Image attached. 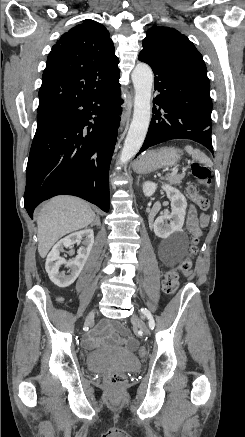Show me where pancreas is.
<instances>
[{"instance_id": "obj_1", "label": "pancreas", "mask_w": 245, "mask_h": 437, "mask_svg": "<svg viewBox=\"0 0 245 437\" xmlns=\"http://www.w3.org/2000/svg\"><path fill=\"white\" fill-rule=\"evenodd\" d=\"M184 178V174H172L171 176H167L165 178L166 181H168L170 184L179 185Z\"/></svg>"}]
</instances>
